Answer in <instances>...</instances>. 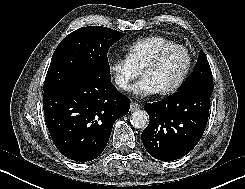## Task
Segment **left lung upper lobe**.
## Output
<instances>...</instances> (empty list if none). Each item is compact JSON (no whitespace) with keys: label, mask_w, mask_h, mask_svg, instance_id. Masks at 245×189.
<instances>
[{"label":"left lung upper lobe","mask_w":245,"mask_h":189,"mask_svg":"<svg viewBox=\"0 0 245 189\" xmlns=\"http://www.w3.org/2000/svg\"><path fill=\"white\" fill-rule=\"evenodd\" d=\"M188 88H200L209 92L213 91L212 72L206 55L203 51H200L199 53L198 61L195 65L192 75L178 91Z\"/></svg>","instance_id":"5c2ea615"}]
</instances>
